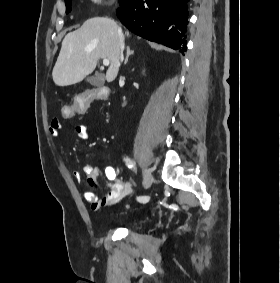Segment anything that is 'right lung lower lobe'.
Wrapping results in <instances>:
<instances>
[{
	"label": "right lung lower lobe",
	"instance_id": "98d812e1",
	"mask_svg": "<svg viewBox=\"0 0 280 283\" xmlns=\"http://www.w3.org/2000/svg\"><path fill=\"white\" fill-rule=\"evenodd\" d=\"M190 0H126L116 14L125 27L150 41L186 51Z\"/></svg>",
	"mask_w": 280,
	"mask_h": 283
}]
</instances>
